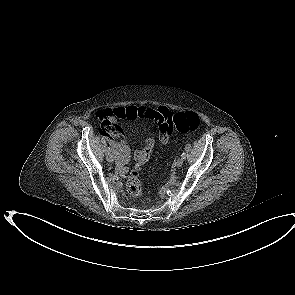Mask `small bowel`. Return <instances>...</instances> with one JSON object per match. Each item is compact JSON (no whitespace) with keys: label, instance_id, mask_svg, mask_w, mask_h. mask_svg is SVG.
I'll return each instance as SVG.
<instances>
[{"label":"small bowel","instance_id":"c3829d8e","mask_svg":"<svg viewBox=\"0 0 295 295\" xmlns=\"http://www.w3.org/2000/svg\"><path fill=\"white\" fill-rule=\"evenodd\" d=\"M169 113L170 112L165 107L152 109L147 106H128L113 110H100L97 112L96 117L101 126V131L106 135L107 141L117 157V169L120 174L124 175L128 171L126 165L130 158V149L125 142L118 140L120 132L122 131V126L120 124H116V119H145L155 121L159 124L160 121H162ZM170 135L171 132H160L161 142L163 144H167L170 140ZM146 148L147 144L145 140V146L134 152L135 161H137L136 155L138 153H142Z\"/></svg>","mask_w":295,"mask_h":295}]
</instances>
